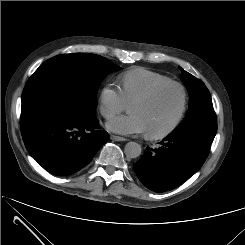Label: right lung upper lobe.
Returning a JSON list of instances; mask_svg holds the SVG:
<instances>
[{
    "instance_id": "cb5924a9",
    "label": "right lung upper lobe",
    "mask_w": 245,
    "mask_h": 245,
    "mask_svg": "<svg viewBox=\"0 0 245 245\" xmlns=\"http://www.w3.org/2000/svg\"><path fill=\"white\" fill-rule=\"evenodd\" d=\"M64 73L60 70H57L51 64L43 63L29 78V80L35 81H51L55 82L57 80H63Z\"/></svg>"
}]
</instances>
